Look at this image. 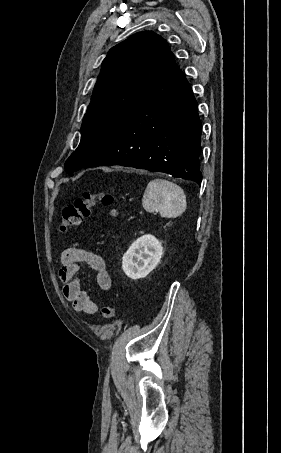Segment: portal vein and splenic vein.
Masks as SVG:
<instances>
[{"instance_id": "18ae733b", "label": "portal vein and splenic vein", "mask_w": 281, "mask_h": 453, "mask_svg": "<svg viewBox=\"0 0 281 453\" xmlns=\"http://www.w3.org/2000/svg\"><path fill=\"white\" fill-rule=\"evenodd\" d=\"M139 212V214L141 215L143 213V210H140ZM158 215H162V212H158Z\"/></svg>"}]
</instances>
